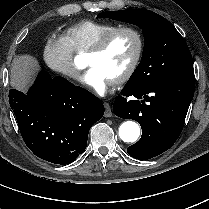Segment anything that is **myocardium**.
I'll use <instances>...</instances> for the list:
<instances>
[{"label":"myocardium","instance_id":"myocardium-1","mask_svg":"<svg viewBox=\"0 0 209 209\" xmlns=\"http://www.w3.org/2000/svg\"><path fill=\"white\" fill-rule=\"evenodd\" d=\"M121 32H129L133 34L137 41V49L134 55V58L130 62L129 66L125 70V72L114 82L116 85H122L129 81L133 74L135 73L144 53L145 49V41L142 33L139 29L133 26H118L107 32L104 36H102L88 51L87 54L90 55H99L103 53L108 45L110 44L113 37Z\"/></svg>","mask_w":209,"mask_h":209}]
</instances>
